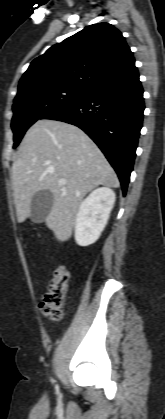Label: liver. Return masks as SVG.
<instances>
[{
	"instance_id": "6515ba94",
	"label": "liver",
	"mask_w": 165,
	"mask_h": 419,
	"mask_svg": "<svg viewBox=\"0 0 165 419\" xmlns=\"http://www.w3.org/2000/svg\"><path fill=\"white\" fill-rule=\"evenodd\" d=\"M66 184L61 185L60 180ZM99 185L118 187L119 181L98 146L80 128L56 120H38L24 136L12 165L17 219L30 216L31 199L41 190L53 195L46 226L59 241L68 240L84 196Z\"/></svg>"
}]
</instances>
